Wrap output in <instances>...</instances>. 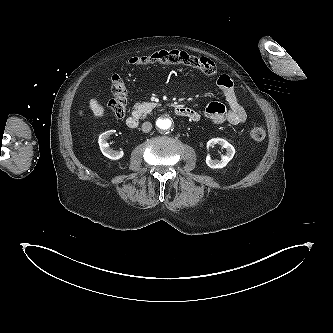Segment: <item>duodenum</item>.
<instances>
[{
  "label": "duodenum",
  "mask_w": 333,
  "mask_h": 333,
  "mask_svg": "<svg viewBox=\"0 0 333 333\" xmlns=\"http://www.w3.org/2000/svg\"><path fill=\"white\" fill-rule=\"evenodd\" d=\"M175 113L179 116H182L185 113V107L183 106H177L174 109ZM126 125L131 128L134 129L139 125V118L137 115L132 114L130 115L127 119H126Z\"/></svg>",
  "instance_id": "obj_1"
}]
</instances>
